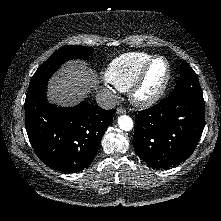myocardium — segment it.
Masks as SVG:
<instances>
[{
  "instance_id": "f54148a6",
  "label": "myocardium",
  "mask_w": 221,
  "mask_h": 221,
  "mask_svg": "<svg viewBox=\"0 0 221 221\" xmlns=\"http://www.w3.org/2000/svg\"><path fill=\"white\" fill-rule=\"evenodd\" d=\"M157 60H163L166 64L167 71H166L165 78H164L162 84L160 85V87L154 93H152L150 95H143L141 93V90H142L143 85L145 83L146 77L148 75V72H149L151 66ZM171 74H172L171 65H170L169 61L167 60V58H165L164 56H159V55L153 56L142 67L141 71L139 72L136 79L132 83L130 89L128 90L130 100L135 105L142 107V108H147V107H151V106L155 105L164 96V94L169 86L170 80H171Z\"/></svg>"
}]
</instances>
